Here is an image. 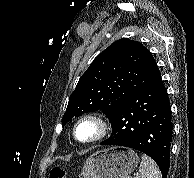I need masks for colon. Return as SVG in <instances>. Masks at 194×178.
I'll return each mask as SVG.
<instances>
[{
    "mask_svg": "<svg viewBox=\"0 0 194 178\" xmlns=\"http://www.w3.org/2000/svg\"><path fill=\"white\" fill-rule=\"evenodd\" d=\"M50 178H66L65 170L61 166H54L50 171Z\"/></svg>",
    "mask_w": 194,
    "mask_h": 178,
    "instance_id": "1",
    "label": "colon"
}]
</instances>
